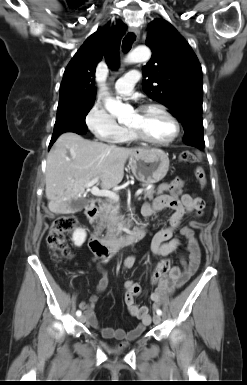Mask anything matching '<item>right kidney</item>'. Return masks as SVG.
<instances>
[{
    "label": "right kidney",
    "mask_w": 247,
    "mask_h": 385,
    "mask_svg": "<svg viewBox=\"0 0 247 385\" xmlns=\"http://www.w3.org/2000/svg\"><path fill=\"white\" fill-rule=\"evenodd\" d=\"M86 231L84 229H76L72 236V241L77 247H81L86 240Z\"/></svg>",
    "instance_id": "obj_1"
}]
</instances>
